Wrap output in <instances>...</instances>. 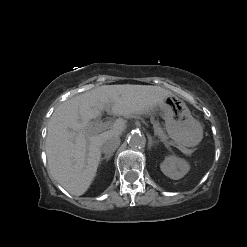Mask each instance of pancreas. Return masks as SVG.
I'll list each match as a JSON object with an SVG mask.
<instances>
[{
    "mask_svg": "<svg viewBox=\"0 0 247 247\" xmlns=\"http://www.w3.org/2000/svg\"><path fill=\"white\" fill-rule=\"evenodd\" d=\"M154 131L160 138L164 139L165 141L168 139V136L163 132L159 124L156 122L154 123ZM179 148L188 155L192 153V150L190 149L184 148L182 146H180Z\"/></svg>",
    "mask_w": 247,
    "mask_h": 247,
    "instance_id": "obj_1",
    "label": "pancreas"
}]
</instances>
